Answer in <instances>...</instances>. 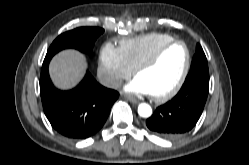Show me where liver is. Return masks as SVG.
Returning <instances> with one entry per match:
<instances>
[{
  "label": "liver",
  "instance_id": "liver-1",
  "mask_svg": "<svg viewBox=\"0 0 249 165\" xmlns=\"http://www.w3.org/2000/svg\"><path fill=\"white\" fill-rule=\"evenodd\" d=\"M86 68L85 56L74 49H67L53 57L49 65V74L58 89L69 90L82 80Z\"/></svg>",
  "mask_w": 249,
  "mask_h": 165
}]
</instances>
